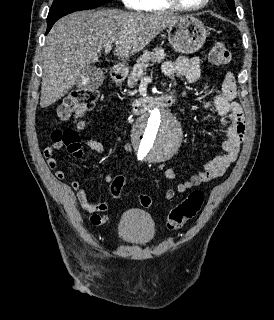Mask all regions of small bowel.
<instances>
[{"label": "small bowel", "instance_id": "small-bowel-1", "mask_svg": "<svg viewBox=\"0 0 274 320\" xmlns=\"http://www.w3.org/2000/svg\"><path fill=\"white\" fill-rule=\"evenodd\" d=\"M163 72L168 77L182 76L187 82L194 84L200 79V61L197 57L188 58L179 56L173 61L165 62ZM236 93L235 76L231 72H225L222 77L220 90L212 101L216 113L221 117V132L224 134L222 153L207 162L203 170L193 175L190 179L178 183L174 188H168L163 194L164 200H171L177 193H184L193 187L223 175L235 161L247 129L244 111L236 101ZM210 106V102L203 103L204 109ZM75 124L78 131L83 129V121L81 119H77ZM53 145L55 148L63 147L64 142L63 140H54ZM86 145L95 153L100 154L104 152V145L97 140L90 139L86 142ZM54 149L52 146H42L41 148L42 153H44L43 157L47 159V164L51 169H55L57 166V161L51 154ZM123 149L126 152L133 150L130 144H125ZM73 153L77 156L81 154L79 149L73 151ZM55 176L61 180L65 177V173L62 170H57ZM165 176L169 180H176V170L172 167L167 168ZM115 178L111 173L104 175V181L108 184H112ZM70 187L76 193L80 207L89 213V222L95 226L104 224L107 221L105 212L109 209L108 203L89 200L85 188L77 180H73L70 183Z\"/></svg>", "mask_w": 274, "mask_h": 320}]
</instances>
